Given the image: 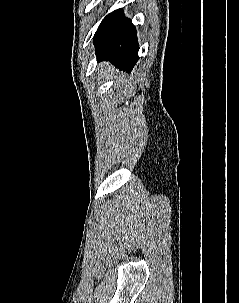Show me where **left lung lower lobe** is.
<instances>
[{"label":"left lung lower lobe","instance_id":"0a47b994","mask_svg":"<svg viewBox=\"0 0 239 303\" xmlns=\"http://www.w3.org/2000/svg\"><path fill=\"white\" fill-rule=\"evenodd\" d=\"M93 43L97 60L109 59L130 72L138 60L135 26L121 9L107 15L99 25Z\"/></svg>","mask_w":239,"mask_h":303}]
</instances>
